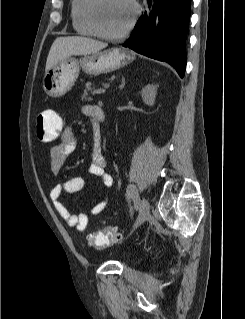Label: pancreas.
Here are the masks:
<instances>
[{"label":"pancreas","mask_w":245,"mask_h":319,"mask_svg":"<svg viewBox=\"0 0 245 319\" xmlns=\"http://www.w3.org/2000/svg\"><path fill=\"white\" fill-rule=\"evenodd\" d=\"M94 91H95V88L92 87V83L87 82L85 89L83 91L82 99L91 100L92 98L89 96V92L94 93Z\"/></svg>","instance_id":"1"}]
</instances>
